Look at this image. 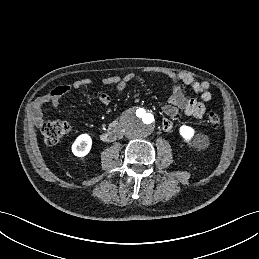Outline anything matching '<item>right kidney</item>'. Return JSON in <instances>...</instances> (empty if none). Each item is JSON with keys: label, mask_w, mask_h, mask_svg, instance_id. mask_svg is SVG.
<instances>
[{"label": "right kidney", "mask_w": 259, "mask_h": 259, "mask_svg": "<svg viewBox=\"0 0 259 259\" xmlns=\"http://www.w3.org/2000/svg\"><path fill=\"white\" fill-rule=\"evenodd\" d=\"M91 146V137L88 134H81L72 144V152L77 157H84L89 153Z\"/></svg>", "instance_id": "1"}]
</instances>
